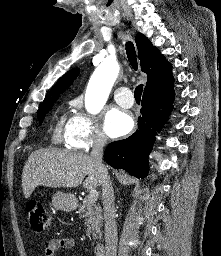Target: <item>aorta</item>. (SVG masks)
<instances>
[{
    "mask_svg": "<svg viewBox=\"0 0 221 256\" xmlns=\"http://www.w3.org/2000/svg\"><path fill=\"white\" fill-rule=\"evenodd\" d=\"M118 73L119 65L113 60H105L95 69L85 95V107L88 112L96 114L103 108Z\"/></svg>",
    "mask_w": 221,
    "mask_h": 256,
    "instance_id": "762f6f07",
    "label": "aorta"
}]
</instances>
